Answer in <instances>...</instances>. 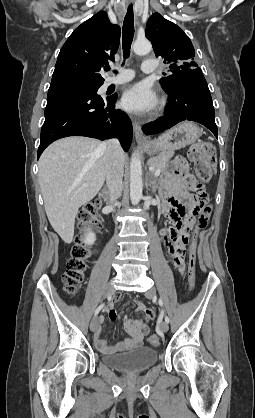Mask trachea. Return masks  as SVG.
Returning a JSON list of instances; mask_svg holds the SVG:
<instances>
[{
    "mask_svg": "<svg viewBox=\"0 0 255 418\" xmlns=\"http://www.w3.org/2000/svg\"><path fill=\"white\" fill-rule=\"evenodd\" d=\"M134 36V15H133V6L130 4L123 22V31H122V47H123V56L124 59L128 58L130 55V48ZM107 71L110 70V67L106 68Z\"/></svg>",
    "mask_w": 255,
    "mask_h": 418,
    "instance_id": "trachea-1",
    "label": "trachea"
}]
</instances>
